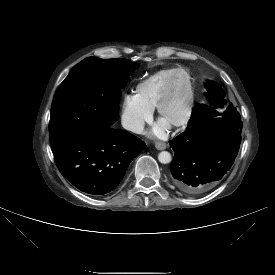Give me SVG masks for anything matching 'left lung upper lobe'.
I'll use <instances>...</instances> for the list:
<instances>
[{
	"instance_id": "5c2ea615",
	"label": "left lung upper lobe",
	"mask_w": 275,
	"mask_h": 275,
	"mask_svg": "<svg viewBox=\"0 0 275 275\" xmlns=\"http://www.w3.org/2000/svg\"><path fill=\"white\" fill-rule=\"evenodd\" d=\"M206 88V96L211 106L205 104L196 105L192 111L193 116L188 126L197 123L218 122L225 126L242 129L241 116L232 103H230L226 109L218 110V108H221L225 103L223 100L224 93L220 85L215 82H210L206 84Z\"/></svg>"
}]
</instances>
